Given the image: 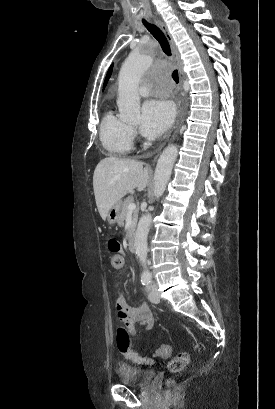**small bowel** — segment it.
Here are the masks:
<instances>
[{"label":"small bowel","mask_w":275,"mask_h":409,"mask_svg":"<svg viewBox=\"0 0 275 409\" xmlns=\"http://www.w3.org/2000/svg\"><path fill=\"white\" fill-rule=\"evenodd\" d=\"M118 304L116 316L120 321L128 325H118L116 328V341L119 354L123 355L125 360H131L133 366L152 363V361L147 358L142 357L141 360V353L132 351V348L130 347L132 345L130 334H135L137 332V327L147 330L154 327L155 319L149 304L143 302L137 306L125 307L120 306L122 305V301H119Z\"/></svg>","instance_id":"small-bowel-1"}]
</instances>
